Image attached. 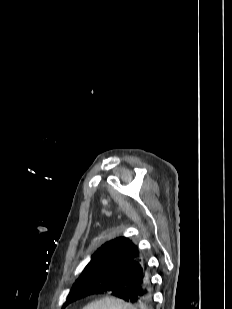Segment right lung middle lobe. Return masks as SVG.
Masks as SVG:
<instances>
[{"instance_id": "right-lung-middle-lobe-1", "label": "right lung middle lobe", "mask_w": 232, "mask_h": 309, "mask_svg": "<svg viewBox=\"0 0 232 309\" xmlns=\"http://www.w3.org/2000/svg\"><path fill=\"white\" fill-rule=\"evenodd\" d=\"M129 274H121L112 271H97L92 274H86L79 277L73 288L71 289L64 307L72 302L80 300L86 296L89 286L102 285L104 283H114L117 280H130Z\"/></svg>"}]
</instances>
